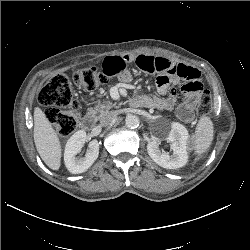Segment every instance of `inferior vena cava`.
<instances>
[{"mask_svg":"<svg viewBox=\"0 0 250 250\" xmlns=\"http://www.w3.org/2000/svg\"><path fill=\"white\" fill-rule=\"evenodd\" d=\"M116 117H117L116 111H107L101 116L100 125L101 126H108L114 121V119Z\"/></svg>","mask_w":250,"mask_h":250,"instance_id":"obj_1","label":"inferior vena cava"}]
</instances>
